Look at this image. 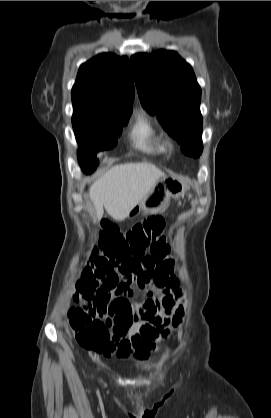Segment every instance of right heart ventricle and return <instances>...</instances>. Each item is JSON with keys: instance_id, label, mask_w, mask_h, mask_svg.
<instances>
[{"instance_id": "right-heart-ventricle-1", "label": "right heart ventricle", "mask_w": 271, "mask_h": 418, "mask_svg": "<svg viewBox=\"0 0 271 418\" xmlns=\"http://www.w3.org/2000/svg\"><path fill=\"white\" fill-rule=\"evenodd\" d=\"M130 138L133 146L143 153L158 155L165 152V146L158 129L145 114H140L137 117L131 129Z\"/></svg>"}]
</instances>
